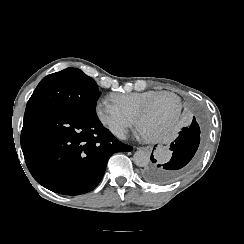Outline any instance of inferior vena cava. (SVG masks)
<instances>
[{
	"mask_svg": "<svg viewBox=\"0 0 244 244\" xmlns=\"http://www.w3.org/2000/svg\"><path fill=\"white\" fill-rule=\"evenodd\" d=\"M116 136L119 137L120 139H126V134L123 130H118L115 132Z\"/></svg>",
	"mask_w": 244,
	"mask_h": 244,
	"instance_id": "602c4592",
	"label": "inferior vena cava"
}]
</instances>
